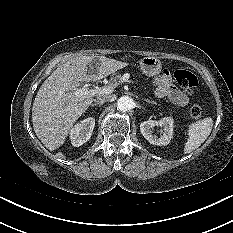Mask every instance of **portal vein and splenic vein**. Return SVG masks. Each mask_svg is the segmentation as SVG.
Returning a JSON list of instances; mask_svg holds the SVG:
<instances>
[{
  "label": "portal vein and splenic vein",
  "mask_w": 233,
  "mask_h": 233,
  "mask_svg": "<svg viewBox=\"0 0 233 233\" xmlns=\"http://www.w3.org/2000/svg\"><path fill=\"white\" fill-rule=\"evenodd\" d=\"M125 79H121L119 82H124ZM114 86L107 85L103 87H95L94 89H89L87 85L83 86L82 88L76 89L74 91V94L78 97H92L95 95H101V94H111L114 91Z\"/></svg>",
  "instance_id": "18ae733b"
}]
</instances>
